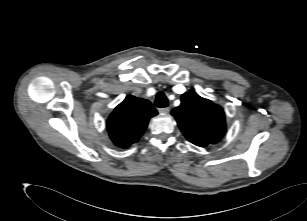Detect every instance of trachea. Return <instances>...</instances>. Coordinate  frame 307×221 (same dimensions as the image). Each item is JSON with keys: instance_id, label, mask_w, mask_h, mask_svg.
Masks as SVG:
<instances>
[{"instance_id": "1", "label": "trachea", "mask_w": 307, "mask_h": 221, "mask_svg": "<svg viewBox=\"0 0 307 221\" xmlns=\"http://www.w3.org/2000/svg\"><path fill=\"white\" fill-rule=\"evenodd\" d=\"M155 105L159 108H164L168 106V99L164 92L160 91L157 93L155 98Z\"/></svg>"}]
</instances>
